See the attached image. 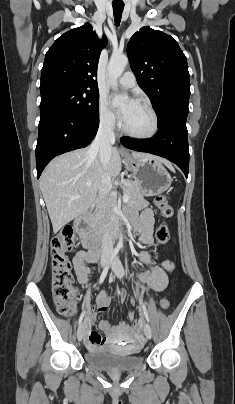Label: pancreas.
Returning a JSON list of instances; mask_svg holds the SVG:
<instances>
[{
    "label": "pancreas",
    "mask_w": 235,
    "mask_h": 404,
    "mask_svg": "<svg viewBox=\"0 0 235 404\" xmlns=\"http://www.w3.org/2000/svg\"><path fill=\"white\" fill-rule=\"evenodd\" d=\"M124 194L129 195V205L131 207L140 208L147 205V201L144 199V191L142 186L131 180H125L122 185ZM117 200L116 198H110L101 205L97 212V219L99 221L101 229L105 227V224L115 220L118 217L116 212Z\"/></svg>",
    "instance_id": "1"
}]
</instances>
